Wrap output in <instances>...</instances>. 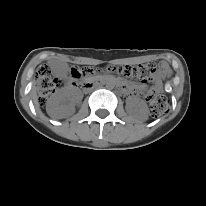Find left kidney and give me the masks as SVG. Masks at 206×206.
<instances>
[{"label":"left kidney","mask_w":206,"mask_h":206,"mask_svg":"<svg viewBox=\"0 0 206 206\" xmlns=\"http://www.w3.org/2000/svg\"><path fill=\"white\" fill-rule=\"evenodd\" d=\"M126 111L131 114L138 116L142 120H147L148 118V106L140 99L130 98L126 104Z\"/></svg>","instance_id":"left-kidney-1"}]
</instances>
